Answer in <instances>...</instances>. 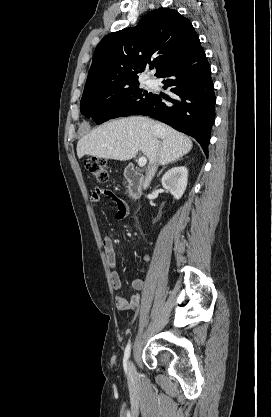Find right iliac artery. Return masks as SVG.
I'll return each instance as SVG.
<instances>
[{"label": "right iliac artery", "mask_w": 272, "mask_h": 417, "mask_svg": "<svg viewBox=\"0 0 272 417\" xmlns=\"http://www.w3.org/2000/svg\"><path fill=\"white\" fill-rule=\"evenodd\" d=\"M130 351H131V344L128 343L124 352V369L126 372H127V360L129 359Z\"/></svg>", "instance_id": "obj_1"}]
</instances>
